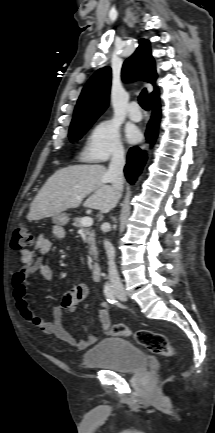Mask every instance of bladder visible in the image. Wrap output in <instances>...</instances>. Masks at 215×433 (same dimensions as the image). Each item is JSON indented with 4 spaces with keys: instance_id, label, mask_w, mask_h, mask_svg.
Returning <instances> with one entry per match:
<instances>
[{
    "instance_id": "obj_1",
    "label": "bladder",
    "mask_w": 215,
    "mask_h": 433,
    "mask_svg": "<svg viewBox=\"0 0 215 433\" xmlns=\"http://www.w3.org/2000/svg\"><path fill=\"white\" fill-rule=\"evenodd\" d=\"M85 367H104L122 374H132L147 366L146 354L128 340L111 337L102 339L83 357Z\"/></svg>"
}]
</instances>
